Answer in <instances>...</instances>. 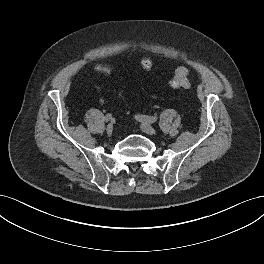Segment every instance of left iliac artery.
Wrapping results in <instances>:
<instances>
[{
  "instance_id": "1",
  "label": "left iliac artery",
  "mask_w": 264,
  "mask_h": 264,
  "mask_svg": "<svg viewBox=\"0 0 264 264\" xmlns=\"http://www.w3.org/2000/svg\"><path fill=\"white\" fill-rule=\"evenodd\" d=\"M136 118L141 121V122H145V123H154L157 121V117H151V116H147V115H137Z\"/></svg>"
}]
</instances>
